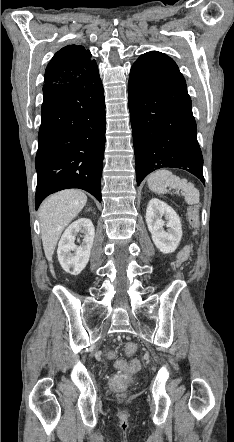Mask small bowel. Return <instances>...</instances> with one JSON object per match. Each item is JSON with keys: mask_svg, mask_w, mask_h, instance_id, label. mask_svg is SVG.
<instances>
[{"mask_svg": "<svg viewBox=\"0 0 234 442\" xmlns=\"http://www.w3.org/2000/svg\"><path fill=\"white\" fill-rule=\"evenodd\" d=\"M186 252L184 251V252H182V253H180L179 254V256H178V258H177V261H176V264L177 265H179V264H181L185 259H186ZM108 355V354H107Z\"/></svg>", "mask_w": 234, "mask_h": 442, "instance_id": "c3829d8e", "label": "small bowel"}]
</instances>
